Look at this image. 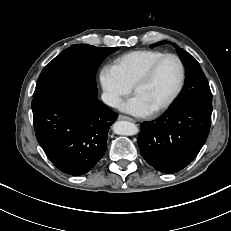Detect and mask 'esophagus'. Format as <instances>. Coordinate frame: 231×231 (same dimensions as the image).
<instances>
[{
  "mask_svg": "<svg viewBox=\"0 0 231 231\" xmlns=\"http://www.w3.org/2000/svg\"><path fill=\"white\" fill-rule=\"evenodd\" d=\"M118 119H119V120L134 121V119H133V118L128 117V116H125V115H120V116L118 117Z\"/></svg>",
  "mask_w": 231,
  "mask_h": 231,
  "instance_id": "1",
  "label": "esophagus"
}]
</instances>
